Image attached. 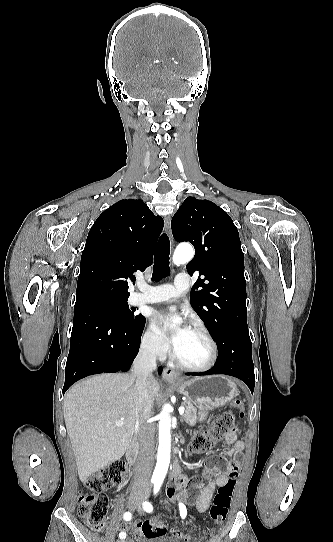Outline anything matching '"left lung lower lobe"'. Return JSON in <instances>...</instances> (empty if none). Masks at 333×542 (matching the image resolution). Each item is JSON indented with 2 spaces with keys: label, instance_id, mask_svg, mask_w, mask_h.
I'll use <instances>...</instances> for the list:
<instances>
[{
  "label": "left lung lower lobe",
  "instance_id": "left-lung-lower-lobe-1",
  "mask_svg": "<svg viewBox=\"0 0 333 542\" xmlns=\"http://www.w3.org/2000/svg\"><path fill=\"white\" fill-rule=\"evenodd\" d=\"M218 347L215 365L208 371L187 375L226 374L243 380L251 392L255 386L252 344L248 329L229 331Z\"/></svg>",
  "mask_w": 333,
  "mask_h": 542
}]
</instances>
